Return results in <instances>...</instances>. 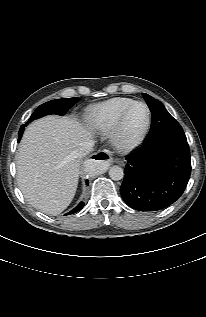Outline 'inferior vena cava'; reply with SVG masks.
Returning a JSON list of instances; mask_svg holds the SVG:
<instances>
[{"mask_svg": "<svg viewBox=\"0 0 206 317\" xmlns=\"http://www.w3.org/2000/svg\"><path fill=\"white\" fill-rule=\"evenodd\" d=\"M93 147H94L93 140H86V141L82 142L81 145L77 149L78 156L83 157V156L89 154L90 152L93 151Z\"/></svg>", "mask_w": 206, "mask_h": 317, "instance_id": "obj_1", "label": "inferior vena cava"}]
</instances>
